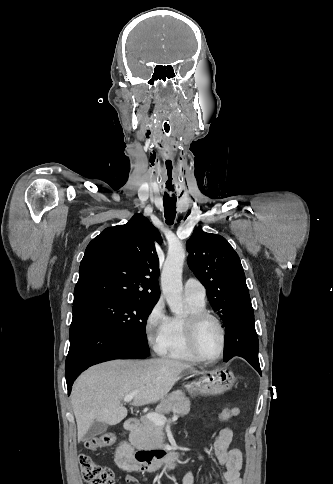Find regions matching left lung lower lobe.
I'll use <instances>...</instances> for the list:
<instances>
[{"label":"left lung lower lobe","instance_id":"left-lung-lower-lobe-1","mask_svg":"<svg viewBox=\"0 0 333 484\" xmlns=\"http://www.w3.org/2000/svg\"><path fill=\"white\" fill-rule=\"evenodd\" d=\"M224 327L226 342L224 361H228L234 356H240L261 373L258 359V338L251 302L236 309Z\"/></svg>","mask_w":333,"mask_h":484}]
</instances>
